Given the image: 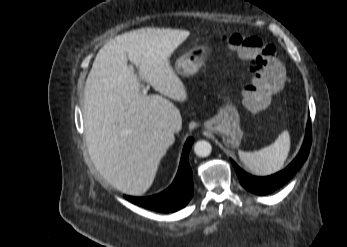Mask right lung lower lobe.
<instances>
[{
	"instance_id": "obj_1",
	"label": "right lung lower lobe",
	"mask_w": 347,
	"mask_h": 247,
	"mask_svg": "<svg viewBox=\"0 0 347 247\" xmlns=\"http://www.w3.org/2000/svg\"><path fill=\"white\" fill-rule=\"evenodd\" d=\"M192 143L193 138H188L183 148L177 175L168 189L150 197L125 196V198L136 205L158 212H174L183 208L193 195L192 170L188 163Z\"/></svg>"
}]
</instances>
